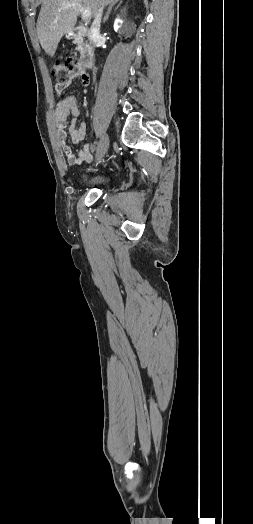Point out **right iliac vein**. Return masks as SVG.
Here are the masks:
<instances>
[{"instance_id": "obj_1", "label": "right iliac vein", "mask_w": 253, "mask_h": 524, "mask_svg": "<svg viewBox=\"0 0 253 524\" xmlns=\"http://www.w3.org/2000/svg\"><path fill=\"white\" fill-rule=\"evenodd\" d=\"M109 147V137L105 133L102 135L96 151V162L99 163L105 156Z\"/></svg>"}]
</instances>
